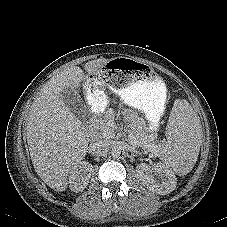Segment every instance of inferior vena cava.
Listing matches in <instances>:
<instances>
[{"mask_svg":"<svg viewBox=\"0 0 227 227\" xmlns=\"http://www.w3.org/2000/svg\"><path fill=\"white\" fill-rule=\"evenodd\" d=\"M89 150L94 156H104L109 151V143L106 140H96L90 144Z\"/></svg>","mask_w":227,"mask_h":227,"instance_id":"1","label":"inferior vena cava"}]
</instances>
